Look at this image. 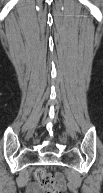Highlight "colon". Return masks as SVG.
<instances>
[{
  "label": "colon",
  "mask_w": 103,
  "mask_h": 193,
  "mask_svg": "<svg viewBox=\"0 0 103 193\" xmlns=\"http://www.w3.org/2000/svg\"><path fill=\"white\" fill-rule=\"evenodd\" d=\"M35 175L39 184L44 189L50 190L51 193H57L55 190L56 179L51 173H49L44 168H39Z\"/></svg>",
  "instance_id": "colon-1"
}]
</instances>
